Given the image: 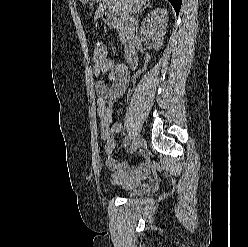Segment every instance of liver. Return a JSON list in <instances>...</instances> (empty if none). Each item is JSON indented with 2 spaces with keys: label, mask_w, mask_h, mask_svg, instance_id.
I'll return each mask as SVG.
<instances>
[{
  "label": "liver",
  "mask_w": 248,
  "mask_h": 247,
  "mask_svg": "<svg viewBox=\"0 0 248 247\" xmlns=\"http://www.w3.org/2000/svg\"><path fill=\"white\" fill-rule=\"evenodd\" d=\"M83 3H88L91 0H80ZM97 2V0H95ZM100 5L95 11L94 20H97L106 10L107 7L110 9L115 8L123 18L128 17L129 13H136L144 5H146L149 0H99Z\"/></svg>",
  "instance_id": "obj_1"
}]
</instances>
